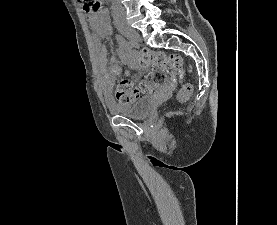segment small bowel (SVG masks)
I'll return each mask as SVG.
<instances>
[{"instance_id": "obj_1", "label": "small bowel", "mask_w": 277, "mask_h": 225, "mask_svg": "<svg viewBox=\"0 0 277 225\" xmlns=\"http://www.w3.org/2000/svg\"><path fill=\"white\" fill-rule=\"evenodd\" d=\"M89 20L94 31L92 45L97 64L102 70L101 85L103 88L112 83L114 76L120 70L121 62H128L131 68L139 69L125 40L119 36L116 37L118 43L117 56H112L110 59L107 58L106 48L100 41L101 36H106L112 32L110 18L106 9L101 8L97 13L91 14ZM139 76L140 73L137 77Z\"/></svg>"}]
</instances>
